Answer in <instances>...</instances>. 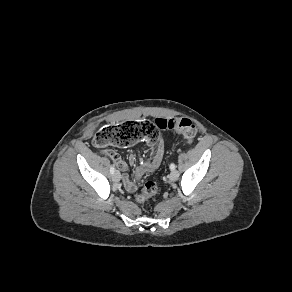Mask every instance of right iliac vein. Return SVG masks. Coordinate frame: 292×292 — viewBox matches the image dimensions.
I'll list each match as a JSON object with an SVG mask.
<instances>
[{
	"label": "right iliac vein",
	"mask_w": 292,
	"mask_h": 292,
	"mask_svg": "<svg viewBox=\"0 0 292 292\" xmlns=\"http://www.w3.org/2000/svg\"><path fill=\"white\" fill-rule=\"evenodd\" d=\"M121 179L120 173L118 171H116L113 175H112V180L114 182H119Z\"/></svg>",
	"instance_id": "63e3f726"
}]
</instances>
